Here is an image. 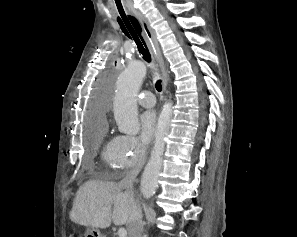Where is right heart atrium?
<instances>
[{
  "label": "right heart atrium",
  "instance_id": "right-heart-atrium-1",
  "mask_svg": "<svg viewBox=\"0 0 297 237\" xmlns=\"http://www.w3.org/2000/svg\"><path fill=\"white\" fill-rule=\"evenodd\" d=\"M146 154V146L134 136L119 135L116 137V163L119 169L137 167Z\"/></svg>",
  "mask_w": 297,
  "mask_h": 237
}]
</instances>
